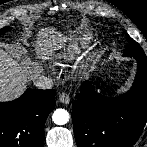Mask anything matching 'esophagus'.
Returning <instances> with one entry per match:
<instances>
[{"label":"esophagus","mask_w":147,"mask_h":147,"mask_svg":"<svg viewBox=\"0 0 147 147\" xmlns=\"http://www.w3.org/2000/svg\"><path fill=\"white\" fill-rule=\"evenodd\" d=\"M59 100L63 104H68L70 102V97L66 92H62L59 96Z\"/></svg>","instance_id":"esophagus-1"}]
</instances>
